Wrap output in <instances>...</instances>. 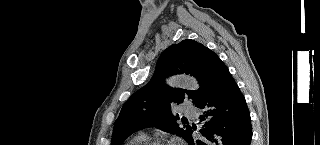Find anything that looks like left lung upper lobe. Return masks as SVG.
<instances>
[{
    "label": "left lung upper lobe",
    "instance_id": "left-lung-upper-lobe-1",
    "mask_svg": "<svg viewBox=\"0 0 320 145\" xmlns=\"http://www.w3.org/2000/svg\"><path fill=\"white\" fill-rule=\"evenodd\" d=\"M218 59L216 53L195 40L186 39L165 49L152 79L122 107L114 125L111 145H121L132 133L147 127H158L186 140L191 127H180L171 107L185 98H190L196 106L200 88L196 91L172 88L164 83V79L176 74H190L201 86L206 71Z\"/></svg>",
    "mask_w": 320,
    "mask_h": 145
}]
</instances>
